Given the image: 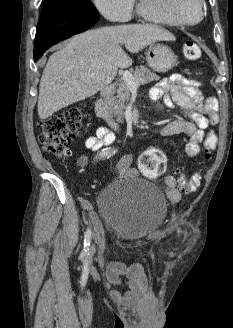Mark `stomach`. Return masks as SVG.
I'll return each mask as SVG.
<instances>
[{"label":"stomach","instance_id":"1","mask_svg":"<svg viewBox=\"0 0 233 328\" xmlns=\"http://www.w3.org/2000/svg\"><path fill=\"white\" fill-rule=\"evenodd\" d=\"M148 65L157 72H166L177 63V57L170 47L162 43H152L147 52Z\"/></svg>","mask_w":233,"mask_h":328}]
</instances>
